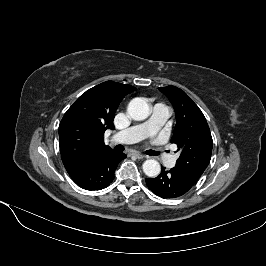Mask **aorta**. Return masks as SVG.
<instances>
[{
    "mask_svg": "<svg viewBox=\"0 0 266 266\" xmlns=\"http://www.w3.org/2000/svg\"><path fill=\"white\" fill-rule=\"evenodd\" d=\"M127 112L133 120L142 121L149 116V106L143 99L134 98L129 102ZM142 167L148 177H156L161 171L159 162L153 159L146 160Z\"/></svg>",
    "mask_w": 266,
    "mask_h": 266,
    "instance_id": "obj_1",
    "label": "aorta"
}]
</instances>
